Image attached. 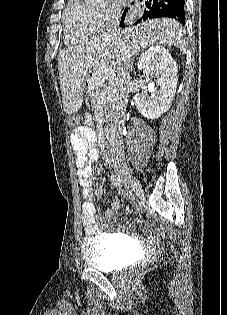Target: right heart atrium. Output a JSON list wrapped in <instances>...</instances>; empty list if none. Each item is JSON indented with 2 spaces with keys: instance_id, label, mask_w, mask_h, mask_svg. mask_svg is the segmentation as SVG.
Here are the masks:
<instances>
[{
  "instance_id": "obj_1",
  "label": "right heart atrium",
  "mask_w": 227,
  "mask_h": 315,
  "mask_svg": "<svg viewBox=\"0 0 227 315\" xmlns=\"http://www.w3.org/2000/svg\"><path fill=\"white\" fill-rule=\"evenodd\" d=\"M119 15L120 9L114 4H108L107 6L96 10V17L101 29L118 19Z\"/></svg>"
}]
</instances>
